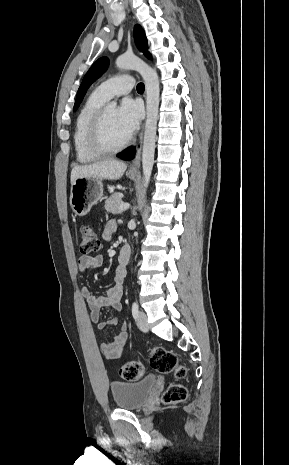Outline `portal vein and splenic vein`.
I'll return each instance as SVG.
<instances>
[{
    "label": "portal vein and splenic vein",
    "instance_id": "obj_1",
    "mask_svg": "<svg viewBox=\"0 0 289 465\" xmlns=\"http://www.w3.org/2000/svg\"><path fill=\"white\" fill-rule=\"evenodd\" d=\"M129 206H130L129 203H123L120 206V210L121 211L127 210L129 208Z\"/></svg>",
    "mask_w": 289,
    "mask_h": 465
}]
</instances>
